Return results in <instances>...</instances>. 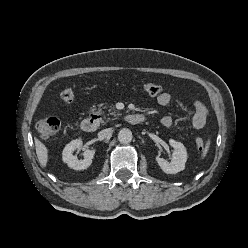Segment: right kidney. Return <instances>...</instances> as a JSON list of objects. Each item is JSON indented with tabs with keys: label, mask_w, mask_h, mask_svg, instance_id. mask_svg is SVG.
<instances>
[{
	"label": "right kidney",
	"mask_w": 248,
	"mask_h": 248,
	"mask_svg": "<svg viewBox=\"0 0 248 248\" xmlns=\"http://www.w3.org/2000/svg\"><path fill=\"white\" fill-rule=\"evenodd\" d=\"M83 142L81 139H76L68 143L62 153V159L67 163L68 167L74 170H84L87 169L92 164V159L95 154L94 149H85L84 150V159L78 160L76 156L73 155L75 150L81 149Z\"/></svg>",
	"instance_id": "ca27d5eb"
}]
</instances>
